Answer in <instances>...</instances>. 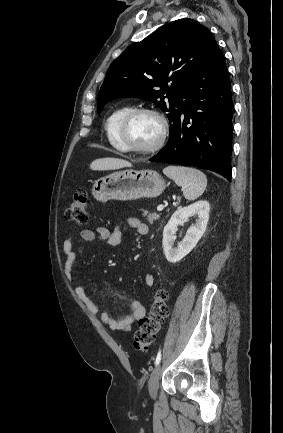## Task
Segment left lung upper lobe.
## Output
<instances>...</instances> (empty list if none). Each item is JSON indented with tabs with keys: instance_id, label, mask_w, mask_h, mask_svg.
I'll use <instances>...</instances> for the list:
<instances>
[{
	"instance_id": "left-lung-upper-lobe-1",
	"label": "left lung upper lobe",
	"mask_w": 283,
	"mask_h": 433,
	"mask_svg": "<svg viewBox=\"0 0 283 433\" xmlns=\"http://www.w3.org/2000/svg\"><path fill=\"white\" fill-rule=\"evenodd\" d=\"M215 45L208 29L190 18L133 43L110 65L98 94V113L112 99L137 97L169 112L170 123L176 121L188 105V86Z\"/></svg>"
}]
</instances>
